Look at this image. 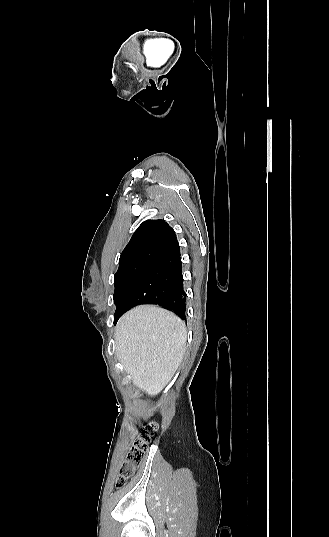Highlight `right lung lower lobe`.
Segmentation results:
<instances>
[{
  "instance_id": "right-lung-lower-lobe-1",
  "label": "right lung lower lobe",
  "mask_w": 329,
  "mask_h": 537,
  "mask_svg": "<svg viewBox=\"0 0 329 537\" xmlns=\"http://www.w3.org/2000/svg\"><path fill=\"white\" fill-rule=\"evenodd\" d=\"M142 303L162 305L181 319H186V295L179 245L150 262L136 277L123 296L114 323L129 308Z\"/></svg>"
}]
</instances>
